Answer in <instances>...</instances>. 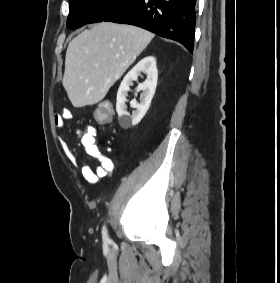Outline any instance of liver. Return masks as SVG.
Listing matches in <instances>:
<instances>
[{
    "label": "liver",
    "mask_w": 280,
    "mask_h": 283,
    "mask_svg": "<svg viewBox=\"0 0 280 283\" xmlns=\"http://www.w3.org/2000/svg\"><path fill=\"white\" fill-rule=\"evenodd\" d=\"M154 34L132 25L101 22L68 45L63 86L74 107L100 102L151 42Z\"/></svg>",
    "instance_id": "1"
}]
</instances>
